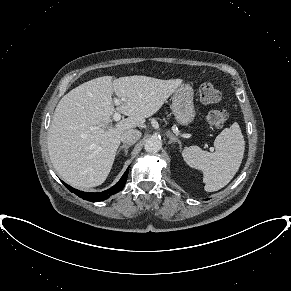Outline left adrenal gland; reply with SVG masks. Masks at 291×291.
Segmentation results:
<instances>
[{
	"instance_id": "a2214340",
	"label": "left adrenal gland",
	"mask_w": 291,
	"mask_h": 291,
	"mask_svg": "<svg viewBox=\"0 0 291 291\" xmlns=\"http://www.w3.org/2000/svg\"><path fill=\"white\" fill-rule=\"evenodd\" d=\"M167 136L170 138L169 144L177 142L179 146L181 147L180 140L176 136H174L170 131L167 132Z\"/></svg>"
}]
</instances>
